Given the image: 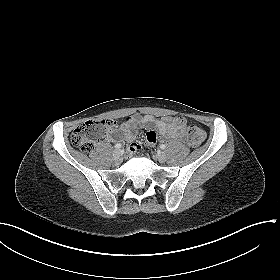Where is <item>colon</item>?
Masks as SVG:
<instances>
[{
    "label": "colon",
    "instance_id": "5ec220e1",
    "mask_svg": "<svg viewBox=\"0 0 280 280\" xmlns=\"http://www.w3.org/2000/svg\"><path fill=\"white\" fill-rule=\"evenodd\" d=\"M114 125V121L110 119L86 121L74 130L71 142L81 151L91 152ZM186 139L189 145L199 146L205 139V132L190 124L186 127Z\"/></svg>",
    "mask_w": 280,
    "mask_h": 280
}]
</instances>
